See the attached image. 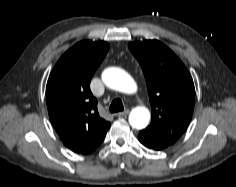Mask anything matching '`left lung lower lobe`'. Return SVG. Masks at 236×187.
<instances>
[{"mask_svg": "<svg viewBox=\"0 0 236 187\" xmlns=\"http://www.w3.org/2000/svg\"><path fill=\"white\" fill-rule=\"evenodd\" d=\"M138 139L144 146L154 149V150H162L163 148H166L169 146L167 144H164V143H161L156 140H153L144 136H140V135H138Z\"/></svg>", "mask_w": 236, "mask_h": 187, "instance_id": "obj_1", "label": "left lung lower lobe"}]
</instances>
